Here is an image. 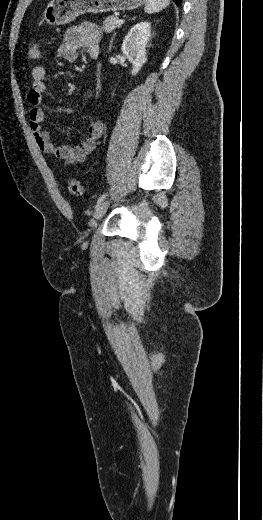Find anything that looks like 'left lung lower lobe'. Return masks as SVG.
Wrapping results in <instances>:
<instances>
[{
	"label": "left lung lower lobe",
	"mask_w": 263,
	"mask_h": 520,
	"mask_svg": "<svg viewBox=\"0 0 263 520\" xmlns=\"http://www.w3.org/2000/svg\"><path fill=\"white\" fill-rule=\"evenodd\" d=\"M177 5L181 3L182 0H173Z\"/></svg>",
	"instance_id": "0a47b994"
}]
</instances>
